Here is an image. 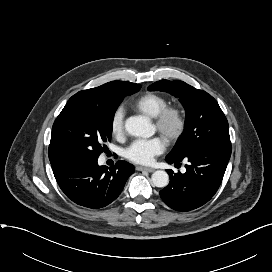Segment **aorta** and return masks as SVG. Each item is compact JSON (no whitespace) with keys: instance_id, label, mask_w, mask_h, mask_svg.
Listing matches in <instances>:
<instances>
[{"instance_id":"1","label":"aorta","mask_w":272,"mask_h":272,"mask_svg":"<svg viewBox=\"0 0 272 272\" xmlns=\"http://www.w3.org/2000/svg\"><path fill=\"white\" fill-rule=\"evenodd\" d=\"M125 129L128 134L142 138H149L155 132L153 125L141 117L128 118L125 122ZM151 182L156 187H166L169 183V175L166 171L157 170L152 174Z\"/></svg>"}]
</instances>
